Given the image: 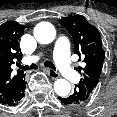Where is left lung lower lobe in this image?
Listing matches in <instances>:
<instances>
[{"label": "left lung lower lobe", "mask_w": 117, "mask_h": 117, "mask_svg": "<svg viewBox=\"0 0 117 117\" xmlns=\"http://www.w3.org/2000/svg\"><path fill=\"white\" fill-rule=\"evenodd\" d=\"M58 99L64 105H81L86 103L89 97L83 88L77 87L73 94L65 97H58Z\"/></svg>", "instance_id": "obj_1"}]
</instances>
